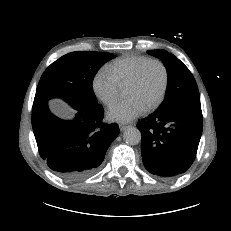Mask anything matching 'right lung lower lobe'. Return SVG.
I'll return each instance as SVG.
<instances>
[{"mask_svg":"<svg viewBox=\"0 0 231 231\" xmlns=\"http://www.w3.org/2000/svg\"><path fill=\"white\" fill-rule=\"evenodd\" d=\"M74 109L75 117L63 120L53 115L41 98L34 100L32 108V127L39 154L50 169L67 180L92 175L119 134L117 124L102 123L101 105Z\"/></svg>","mask_w":231,"mask_h":231,"instance_id":"98d812e1","label":"right lung lower lobe"}]
</instances>
